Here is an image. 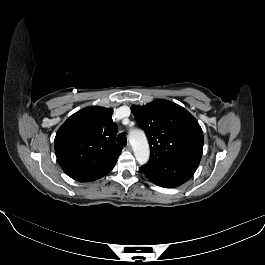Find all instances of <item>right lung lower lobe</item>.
<instances>
[{
	"label": "right lung lower lobe",
	"mask_w": 265,
	"mask_h": 265,
	"mask_svg": "<svg viewBox=\"0 0 265 265\" xmlns=\"http://www.w3.org/2000/svg\"><path fill=\"white\" fill-rule=\"evenodd\" d=\"M102 176H104V175H100V174L95 173V174L74 175V176H71V178H73L74 180L79 181V182H89V181L97 180V179L101 178Z\"/></svg>",
	"instance_id": "1"
}]
</instances>
